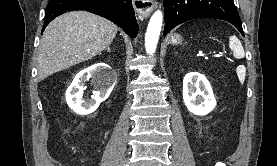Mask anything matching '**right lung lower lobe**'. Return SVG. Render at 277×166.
Listing matches in <instances>:
<instances>
[{
    "instance_id": "obj_1",
    "label": "right lung lower lobe",
    "mask_w": 277,
    "mask_h": 166,
    "mask_svg": "<svg viewBox=\"0 0 277 166\" xmlns=\"http://www.w3.org/2000/svg\"><path fill=\"white\" fill-rule=\"evenodd\" d=\"M74 10H86L102 16L124 29L133 38L138 33L131 0H49L43 28L55 17Z\"/></svg>"
}]
</instances>
